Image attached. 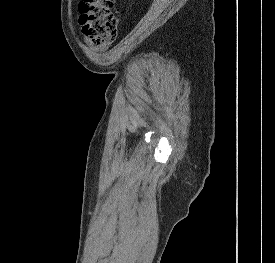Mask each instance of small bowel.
<instances>
[{"instance_id": "c3829d8e", "label": "small bowel", "mask_w": 275, "mask_h": 263, "mask_svg": "<svg viewBox=\"0 0 275 263\" xmlns=\"http://www.w3.org/2000/svg\"><path fill=\"white\" fill-rule=\"evenodd\" d=\"M86 42L92 47L93 50L97 52H101L106 49L107 45H97L91 42L88 38H86Z\"/></svg>"}]
</instances>
